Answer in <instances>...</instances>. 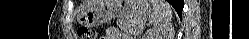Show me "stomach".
<instances>
[{
  "label": "stomach",
  "instance_id": "stomach-1",
  "mask_svg": "<svg viewBox=\"0 0 249 39\" xmlns=\"http://www.w3.org/2000/svg\"><path fill=\"white\" fill-rule=\"evenodd\" d=\"M150 12L147 0H98L80 14L78 22L89 28L100 26L115 17L143 22Z\"/></svg>",
  "mask_w": 249,
  "mask_h": 39
}]
</instances>
